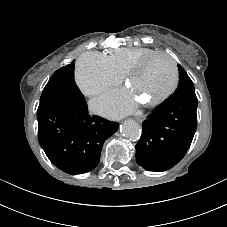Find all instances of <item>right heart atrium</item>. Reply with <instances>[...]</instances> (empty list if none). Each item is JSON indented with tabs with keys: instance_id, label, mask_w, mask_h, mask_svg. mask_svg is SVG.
I'll return each mask as SVG.
<instances>
[{
	"instance_id": "d8ad5b80",
	"label": "right heart atrium",
	"mask_w": 227,
	"mask_h": 227,
	"mask_svg": "<svg viewBox=\"0 0 227 227\" xmlns=\"http://www.w3.org/2000/svg\"><path fill=\"white\" fill-rule=\"evenodd\" d=\"M75 80L83 94L96 96L119 84L122 77L113 70L106 55L87 51L77 60Z\"/></svg>"
}]
</instances>
